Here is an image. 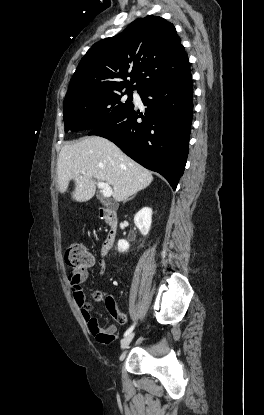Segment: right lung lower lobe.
I'll return each instance as SVG.
<instances>
[{
	"label": "right lung lower lobe",
	"instance_id": "obj_1",
	"mask_svg": "<svg viewBox=\"0 0 264 415\" xmlns=\"http://www.w3.org/2000/svg\"><path fill=\"white\" fill-rule=\"evenodd\" d=\"M139 94L147 106L144 116L133 106L89 135L111 140L133 160L160 173L175 190L188 156L193 114L191 73L152 85Z\"/></svg>",
	"mask_w": 264,
	"mask_h": 415
}]
</instances>
